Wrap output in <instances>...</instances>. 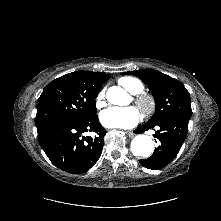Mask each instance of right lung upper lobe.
<instances>
[{"instance_id":"obj_1","label":"right lung upper lobe","mask_w":221,"mask_h":221,"mask_svg":"<svg viewBox=\"0 0 221 221\" xmlns=\"http://www.w3.org/2000/svg\"><path fill=\"white\" fill-rule=\"evenodd\" d=\"M88 89L99 91L102 85L109 79L104 73L91 71H76L67 74Z\"/></svg>"}]
</instances>
